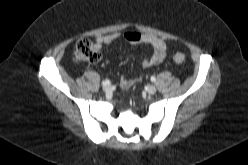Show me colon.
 Here are the masks:
<instances>
[{"label":"colon","instance_id":"obj_1","mask_svg":"<svg viewBox=\"0 0 248 165\" xmlns=\"http://www.w3.org/2000/svg\"><path fill=\"white\" fill-rule=\"evenodd\" d=\"M74 58L81 64H94L99 61L100 53L90 39L82 38L76 43ZM173 59L176 63H183L186 58L184 54L176 53Z\"/></svg>","mask_w":248,"mask_h":165}]
</instances>
